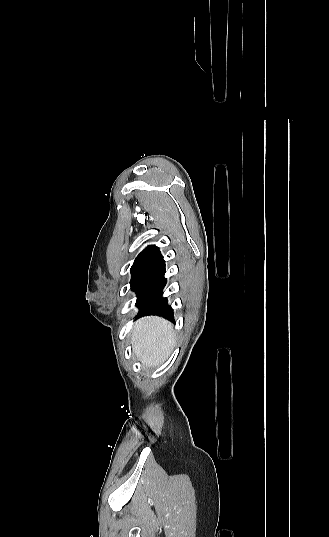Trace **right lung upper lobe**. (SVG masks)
Returning <instances> with one entry per match:
<instances>
[{"label": "right lung upper lobe", "mask_w": 329, "mask_h": 537, "mask_svg": "<svg viewBox=\"0 0 329 537\" xmlns=\"http://www.w3.org/2000/svg\"><path fill=\"white\" fill-rule=\"evenodd\" d=\"M162 258L159 248L155 245L146 247L135 259L134 264L150 265ZM133 264V265H134Z\"/></svg>", "instance_id": "1"}]
</instances>
